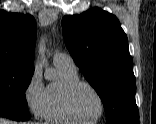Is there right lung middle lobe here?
<instances>
[{
    "label": "right lung middle lobe",
    "instance_id": "right-lung-middle-lobe-1",
    "mask_svg": "<svg viewBox=\"0 0 156 124\" xmlns=\"http://www.w3.org/2000/svg\"><path fill=\"white\" fill-rule=\"evenodd\" d=\"M34 69L0 65V105L28 110L26 89Z\"/></svg>",
    "mask_w": 156,
    "mask_h": 124
}]
</instances>
